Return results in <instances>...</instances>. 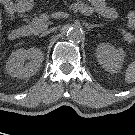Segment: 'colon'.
I'll use <instances>...</instances> for the list:
<instances>
[{
  "label": "colon",
  "instance_id": "obj_1",
  "mask_svg": "<svg viewBox=\"0 0 135 135\" xmlns=\"http://www.w3.org/2000/svg\"><path fill=\"white\" fill-rule=\"evenodd\" d=\"M128 23L131 27L135 28V10L128 13Z\"/></svg>",
  "mask_w": 135,
  "mask_h": 135
}]
</instances>
